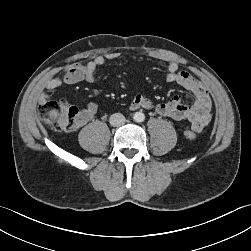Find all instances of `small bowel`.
Here are the masks:
<instances>
[{"label":"small bowel","mask_w":251,"mask_h":251,"mask_svg":"<svg viewBox=\"0 0 251 251\" xmlns=\"http://www.w3.org/2000/svg\"><path fill=\"white\" fill-rule=\"evenodd\" d=\"M118 53H109L105 56H97L86 64H76L63 73L62 76L53 77L46 80L43 88L46 91H53L63 85H74L81 81L96 84L100 81L96 71L108 60H115ZM166 80L176 83L195 97L194 102L189 105L183 102L181 96L176 95L167 102L154 104L149 98L142 94H136L130 102L129 108L137 110L140 108L153 110L157 114L175 121H188L195 132L202 131L212 119V101L205 86L186 71L179 70L177 63L169 62L167 65ZM50 97L46 93L38 96L40 103L49 101ZM97 105L89 103L79 112V126L89 122L97 112Z\"/></svg>","instance_id":"c3829d8e"}]
</instances>
